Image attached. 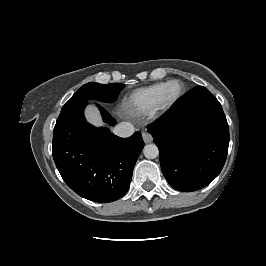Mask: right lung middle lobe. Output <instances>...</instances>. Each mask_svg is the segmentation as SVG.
Instances as JSON below:
<instances>
[{
  "instance_id": "1",
  "label": "right lung middle lobe",
  "mask_w": 266,
  "mask_h": 266,
  "mask_svg": "<svg viewBox=\"0 0 266 266\" xmlns=\"http://www.w3.org/2000/svg\"><path fill=\"white\" fill-rule=\"evenodd\" d=\"M124 84L110 83L98 84L94 82L83 85L62 107L58 118L63 117L67 112L75 108L81 103L90 100L112 103L114 102L120 91L124 88Z\"/></svg>"
}]
</instances>
